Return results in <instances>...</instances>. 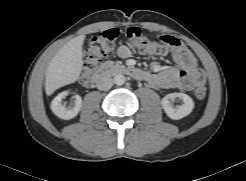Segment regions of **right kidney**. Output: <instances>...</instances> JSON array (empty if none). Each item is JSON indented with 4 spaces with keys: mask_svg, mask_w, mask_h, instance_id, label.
I'll return each mask as SVG.
<instances>
[{
    "mask_svg": "<svg viewBox=\"0 0 246 181\" xmlns=\"http://www.w3.org/2000/svg\"><path fill=\"white\" fill-rule=\"evenodd\" d=\"M68 95L67 91L58 94L51 103L52 112L61 119L69 120L77 116L82 106V99L79 95L75 96L74 106L66 107L62 104V99Z\"/></svg>",
    "mask_w": 246,
    "mask_h": 181,
    "instance_id": "obj_1",
    "label": "right kidney"
}]
</instances>
